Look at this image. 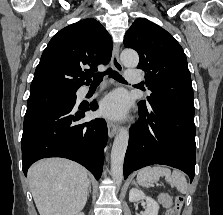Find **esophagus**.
<instances>
[{
	"instance_id": "1",
	"label": "esophagus",
	"mask_w": 223,
	"mask_h": 215,
	"mask_svg": "<svg viewBox=\"0 0 223 215\" xmlns=\"http://www.w3.org/2000/svg\"><path fill=\"white\" fill-rule=\"evenodd\" d=\"M111 65L112 67L117 70V72H123V65L120 63L119 60V45L114 44L112 57H111ZM107 127L109 137L113 138V136L119 131L120 126L113 121L107 120Z\"/></svg>"
}]
</instances>
